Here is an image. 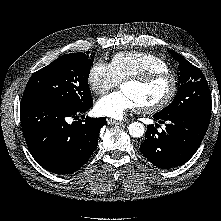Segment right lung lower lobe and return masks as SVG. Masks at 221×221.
Wrapping results in <instances>:
<instances>
[{
  "mask_svg": "<svg viewBox=\"0 0 221 221\" xmlns=\"http://www.w3.org/2000/svg\"><path fill=\"white\" fill-rule=\"evenodd\" d=\"M93 105L73 107L42 99L21 102L20 118L27 146L39 165L56 174H70L82 167L98 145L106 119L79 115ZM72 117L74 121L68 122Z\"/></svg>",
  "mask_w": 221,
  "mask_h": 221,
  "instance_id": "1",
  "label": "right lung lower lobe"
}]
</instances>
